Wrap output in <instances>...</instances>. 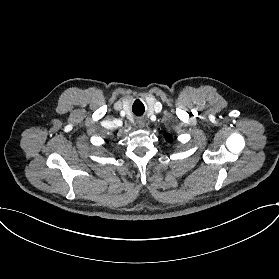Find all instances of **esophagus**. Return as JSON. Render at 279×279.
<instances>
[{"label": "esophagus", "mask_w": 279, "mask_h": 279, "mask_svg": "<svg viewBox=\"0 0 279 279\" xmlns=\"http://www.w3.org/2000/svg\"><path fill=\"white\" fill-rule=\"evenodd\" d=\"M136 124L140 129H142L145 126V123L143 120H137Z\"/></svg>", "instance_id": "34e87169"}]
</instances>
